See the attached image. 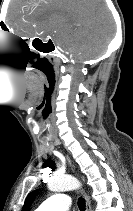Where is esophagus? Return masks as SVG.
Segmentation results:
<instances>
[{"instance_id": "34e87169", "label": "esophagus", "mask_w": 133, "mask_h": 211, "mask_svg": "<svg viewBox=\"0 0 133 211\" xmlns=\"http://www.w3.org/2000/svg\"><path fill=\"white\" fill-rule=\"evenodd\" d=\"M81 194L83 195L85 199V205H86V211H92L89 198L84 190H81Z\"/></svg>"}]
</instances>
